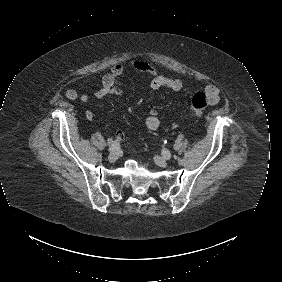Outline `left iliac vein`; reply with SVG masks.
Wrapping results in <instances>:
<instances>
[{"mask_svg":"<svg viewBox=\"0 0 282 282\" xmlns=\"http://www.w3.org/2000/svg\"><path fill=\"white\" fill-rule=\"evenodd\" d=\"M154 161L160 167H166L168 164L166 158L158 156V155L154 156Z\"/></svg>","mask_w":282,"mask_h":282,"instance_id":"obj_1","label":"left iliac vein"}]
</instances>
